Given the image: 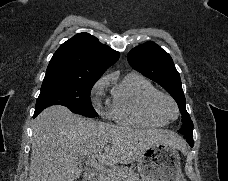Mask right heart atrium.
Returning a JSON list of instances; mask_svg holds the SVG:
<instances>
[{
	"mask_svg": "<svg viewBox=\"0 0 228 181\" xmlns=\"http://www.w3.org/2000/svg\"><path fill=\"white\" fill-rule=\"evenodd\" d=\"M101 115H102L103 117H108V116H109V113H108V112H101Z\"/></svg>",
	"mask_w": 228,
	"mask_h": 181,
	"instance_id": "right-heart-atrium-1",
	"label": "right heart atrium"
}]
</instances>
